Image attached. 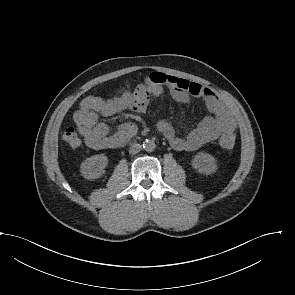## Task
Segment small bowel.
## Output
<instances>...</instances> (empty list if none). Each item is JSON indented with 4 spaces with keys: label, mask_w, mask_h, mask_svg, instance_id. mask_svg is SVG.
<instances>
[{
    "label": "small bowel",
    "mask_w": 295,
    "mask_h": 295,
    "mask_svg": "<svg viewBox=\"0 0 295 295\" xmlns=\"http://www.w3.org/2000/svg\"><path fill=\"white\" fill-rule=\"evenodd\" d=\"M164 86L170 89L177 102L186 103L192 96L203 99L211 113L185 136L178 135L169 122L160 121L158 130L174 150L194 151L216 140L227 129L235 130L233 116L211 89L173 75L153 72L137 86H126L107 99L88 96L81 101L73 118L86 146L94 150L115 148L133 137L137 131L135 124L123 123L114 134H110L107 125L98 121L99 115L109 117L125 110L144 113L150 99L162 95Z\"/></svg>",
    "instance_id": "c3829d8e"
}]
</instances>
